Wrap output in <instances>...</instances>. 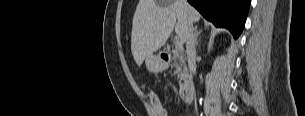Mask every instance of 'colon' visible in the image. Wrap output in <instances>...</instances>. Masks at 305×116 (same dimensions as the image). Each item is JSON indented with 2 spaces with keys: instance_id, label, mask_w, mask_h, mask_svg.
Instances as JSON below:
<instances>
[{
  "instance_id": "obj_1",
  "label": "colon",
  "mask_w": 305,
  "mask_h": 116,
  "mask_svg": "<svg viewBox=\"0 0 305 116\" xmlns=\"http://www.w3.org/2000/svg\"><path fill=\"white\" fill-rule=\"evenodd\" d=\"M142 91L149 107L151 108L153 116H170L169 111L161 103L159 97L154 91L145 86H142Z\"/></svg>"
}]
</instances>
